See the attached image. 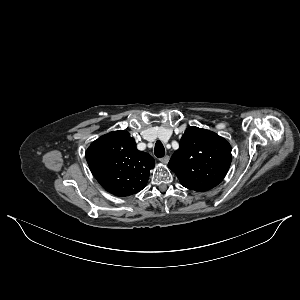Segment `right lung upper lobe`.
<instances>
[{
	"instance_id": "right-lung-upper-lobe-1",
	"label": "right lung upper lobe",
	"mask_w": 300,
	"mask_h": 300,
	"mask_svg": "<svg viewBox=\"0 0 300 300\" xmlns=\"http://www.w3.org/2000/svg\"><path fill=\"white\" fill-rule=\"evenodd\" d=\"M89 168L109 193L126 197L141 191L147 184L154 159L137 150L129 133L110 132L95 140L86 151Z\"/></svg>"
}]
</instances>
